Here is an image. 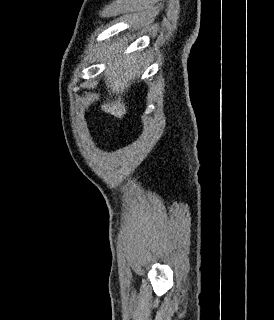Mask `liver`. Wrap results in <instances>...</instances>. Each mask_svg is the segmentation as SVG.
<instances>
[{"instance_id": "6515ba94", "label": "liver", "mask_w": 274, "mask_h": 320, "mask_svg": "<svg viewBox=\"0 0 274 320\" xmlns=\"http://www.w3.org/2000/svg\"><path fill=\"white\" fill-rule=\"evenodd\" d=\"M123 52L124 48L105 50L106 56L103 58V62H107L104 70L106 90H108L110 98L112 96H118V98H115V102L101 104L100 108L103 112L116 116V118H124L125 114H128L123 96L129 90L136 76L140 74L137 64L138 56L135 54L125 56Z\"/></svg>"}]
</instances>
